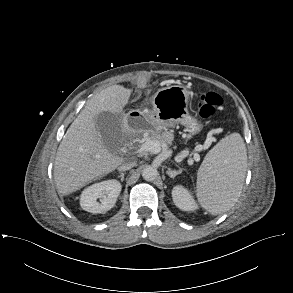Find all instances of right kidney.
<instances>
[{
  "mask_svg": "<svg viewBox=\"0 0 293 293\" xmlns=\"http://www.w3.org/2000/svg\"><path fill=\"white\" fill-rule=\"evenodd\" d=\"M121 189L117 180L95 183L83 190L80 205L83 210L93 214L106 212L114 207Z\"/></svg>",
  "mask_w": 293,
  "mask_h": 293,
  "instance_id": "1",
  "label": "right kidney"
}]
</instances>
